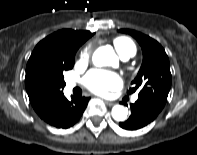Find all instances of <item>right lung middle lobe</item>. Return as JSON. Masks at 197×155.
Wrapping results in <instances>:
<instances>
[{
    "label": "right lung middle lobe",
    "mask_w": 197,
    "mask_h": 155,
    "mask_svg": "<svg viewBox=\"0 0 197 155\" xmlns=\"http://www.w3.org/2000/svg\"><path fill=\"white\" fill-rule=\"evenodd\" d=\"M75 53L41 61L33 73L32 85L45 92L62 91L65 86L63 72L73 68Z\"/></svg>",
    "instance_id": "1"
}]
</instances>
